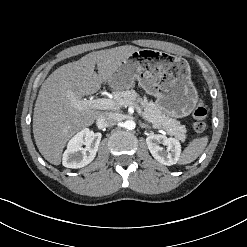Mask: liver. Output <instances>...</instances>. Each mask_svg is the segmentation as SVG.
<instances>
[{"label": "liver", "instance_id": "1", "mask_svg": "<svg viewBox=\"0 0 247 247\" xmlns=\"http://www.w3.org/2000/svg\"><path fill=\"white\" fill-rule=\"evenodd\" d=\"M138 50L125 45L94 51L59 67L44 81L35 102L33 134L39 152L48 162L59 165L67 141L102 114L99 109L77 108L71 98L81 100L97 92L102 83L109 84L121 63Z\"/></svg>", "mask_w": 247, "mask_h": 247}]
</instances>
